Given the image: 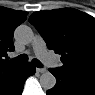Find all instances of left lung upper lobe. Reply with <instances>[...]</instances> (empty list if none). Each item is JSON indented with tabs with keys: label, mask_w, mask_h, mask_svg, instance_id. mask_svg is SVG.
<instances>
[{
	"label": "left lung upper lobe",
	"mask_w": 95,
	"mask_h": 95,
	"mask_svg": "<svg viewBox=\"0 0 95 95\" xmlns=\"http://www.w3.org/2000/svg\"><path fill=\"white\" fill-rule=\"evenodd\" d=\"M29 22L48 48L61 55L63 66L55 70L95 79V19L92 16L65 8L35 12Z\"/></svg>",
	"instance_id": "5c2ea615"
}]
</instances>
